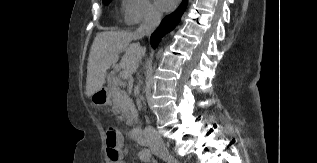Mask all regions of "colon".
Returning a JSON list of instances; mask_svg holds the SVG:
<instances>
[{
  "mask_svg": "<svg viewBox=\"0 0 317 163\" xmlns=\"http://www.w3.org/2000/svg\"><path fill=\"white\" fill-rule=\"evenodd\" d=\"M120 136L116 129L108 128L106 130V151L109 162L116 163L120 157L118 149Z\"/></svg>",
  "mask_w": 317,
  "mask_h": 163,
  "instance_id": "obj_1",
  "label": "colon"
}]
</instances>
